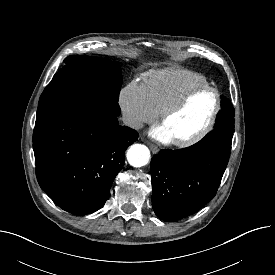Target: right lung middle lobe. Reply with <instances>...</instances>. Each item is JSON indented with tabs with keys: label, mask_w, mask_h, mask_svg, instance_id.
Segmentation results:
<instances>
[{
	"label": "right lung middle lobe",
	"mask_w": 275,
	"mask_h": 275,
	"mask_svg": "<svg viewBox=\"0 0 275 275\" xmlns=\"http://www.w3.org/2000/svg\"><path fill=\"white\" fill-rule=\"evenodd\" d=\"M44 89L37 110L36 125L76 106L121 113L118 97L122 85L119 64L90 56H69Z\"/></svg>",
	"instance_id": "right-lung-middle-lobe-1"
}]
</instances>
